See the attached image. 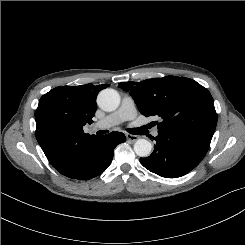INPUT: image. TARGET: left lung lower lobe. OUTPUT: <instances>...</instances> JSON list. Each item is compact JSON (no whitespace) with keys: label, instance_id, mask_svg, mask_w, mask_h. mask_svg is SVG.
Here are the masks:
<instances>
[{"label":"left lung lower lobe","instance_id":"1","mask_svg":"<svg viewBox=\"0 0 245 245\" xmlns=\"http://www.w3.org/2000/svg\"><path fill=\"white\" fill-rule=\"evenodd\" d=\"M212 137L191 130H158L153 153L140 158L149 171L166 178L181 177L194 169L206 155Z\"/></svg>","mask_w":245,"mask_h":245}]
</instances>
